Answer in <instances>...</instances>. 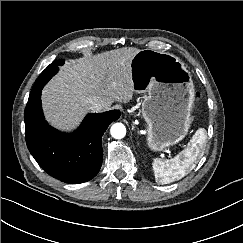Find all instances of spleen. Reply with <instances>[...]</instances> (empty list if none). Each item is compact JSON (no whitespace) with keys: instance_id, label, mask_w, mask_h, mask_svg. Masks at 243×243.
<instances>
[{"instance_id":"3e777b00","label":"spleen","mask_w":243,"mask_h":243,"mask_svg":"<svg viewBox=\"0 0 243 243\" xmlns=\"http://www.w3.org/2000/svg\"><path fill=\"white\" fill-rule=\"evenodd\" d=\"M206 139V130L199 128L188 147L180 154L169 160L155 158L152 166L156 181L160 184H168L183 178L203 156Z\"/></svg>"}]
</instances>
